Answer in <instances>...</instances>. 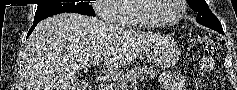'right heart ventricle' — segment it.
I'll return each instance as SVG.
<instances>
[{"mask_svg": "<svg viewBox=\"0 0 237 90\" xmlns=\"http://www.w3.org/2000/svg\"><path fill=\"white\" fill-rule=\"evenodd\" d=\"M113 11L117 12V16L132 15L133 4H117V7H113ZM113 28H144L138 19H120L114 25Z\"/></svg>", "mask_w": 237, "mask_h": 90, "instance_id": "1", "label": "right heart ventricle"}]
</instances>
